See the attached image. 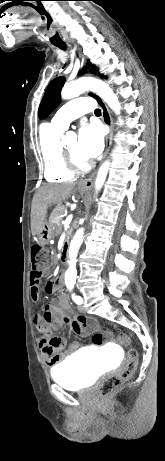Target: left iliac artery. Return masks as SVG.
<instances>
[{
	"instance_id": "1",
	"label": "left iliac artery",
	"mask_w": 165,
	"mask_h": 461,
	"mask_svg": "<svg viewBox=\"0 0 165 461\" xmlns=\"http://www.w3.org/2000/svg\"><path fill=\"white\" fill-rule=\"evenodd\" d=\"M74 301L76 304H82L83 299L80 296H75Z\"/></svg>"
}]
</instances>
